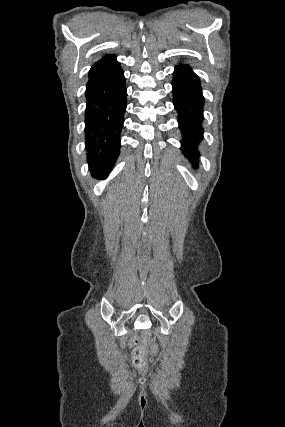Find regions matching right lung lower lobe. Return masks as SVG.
Returning <instances> with one entry per match:
<instances>
[{
	"label": "right lung lower lobe",
	"instance_id": "98d812e1",
	"mask_svg": "<svg viewBox=\"0 0 285 427\" xmlns=\"http://www.w3.org/2000/svg\"><path fill=\"white\" fill-rule=\"evenodd\" d=\"M85 143L93 177H107L120 154V133L126 110L123 71L87 83Z\"/></svg>",
	"mask_w": 285,
	"mask_h": 427
}]
</instances>
